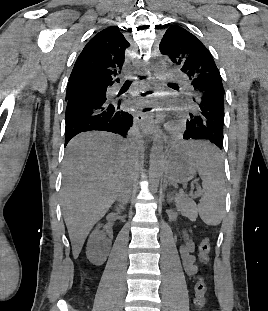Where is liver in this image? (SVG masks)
Wrapping results in <instances>:
<instances>
[{
    "instance_id": "1",
    "label": "liver",
    "mask_w": 268,
    "mask_h": 311,
    "mask_svg": "<svg viewBox=\"0 0 268 311\" xmlns=\"http://www.w3.org/2000/svg\"><path fill=\"white\" fill-rule=\"evenodd\" d=\"M131 161L130 144L107 132L79 134L68 144L61 197L75 259L92 227L118 197Z\"/></svg>"
}]
</instances>
